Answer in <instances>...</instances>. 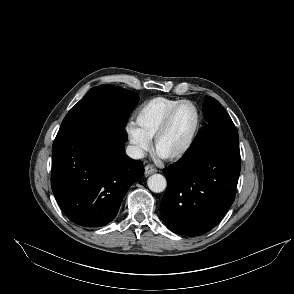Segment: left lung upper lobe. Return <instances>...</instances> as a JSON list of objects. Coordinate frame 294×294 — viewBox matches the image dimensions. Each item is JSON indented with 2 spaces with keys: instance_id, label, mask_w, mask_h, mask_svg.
Wrapping results in <instances>:
<instances>
[{
  "instance_id": "left-lung-upper-lobe-1",
  "label": "left lung upper lobe",
  "mask_w": 294,
  "mask_h": 294,
  "mask_svg": "<svg viewBox=\"0 0 294 294\" xmlns=\"http://www.w3.org/2000/svg\"><path fill=\"white\" fill-rule=\"evenodd\" d=\"M203 112L207 122L204 129L221 125H234L222 105L213 97H207L205 99L203 103Z\"/></svg>"
}]
</instances>
